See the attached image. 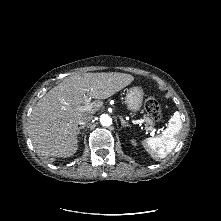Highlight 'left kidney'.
I'll return each instance as SVG.
<instances>
[{
  "instance_id": "obj_1",
  "label": "left kidney",
  "mask_w": 221,
  "mask_h": 221,
  "mask_svg": "<svg viewBox=\"0 0 221 221\" xmlns=\"http://www.w3.org/2000/svg\"><path fill=\"white\" fill-rule=\"evenodd\" d=\"M131 142H132V144H133V145H136V142H135V140H132Z\"/></svg>"
}]
</instances>
